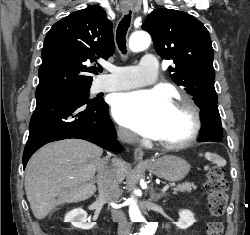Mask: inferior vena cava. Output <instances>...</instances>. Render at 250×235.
<instances>
[{
  "instance_id": "1",
  "label": "inferior vena cava",
  "mask_w": 250,
  "mask_h": 235,
  "mask_svg": "<svg viewBox=\"0 0 250 235\" xmlns=\"http://www.w3.org/2000/svg\"><path fill=\"white\" fill-rule=\"evenodd\" d=\"M118 139L121 142L130 143L135 140V135L124 129H119L117 132ZM115 161L112 160V165L102 164L97 170V184L99 191V199L107 202H115L120 195L119 183L116 177ZM112 218L118 222V235H131V224L127 221L125 214L121 210H111Z\"/></svg>"
}]
</instances>
